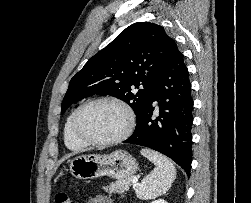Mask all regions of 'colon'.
Segmentation results:
<instances>
[{
  "instance_id": "1",
  "label": "colon",
  "mask_w": 251,
  "mask_h": 203,
  "mask_svg": "<svg viewBox=\"0 0 251 203\" xmlns=\"http://www.w3.org/2000/svg\"><path fill=\"white\" fill-rule=\"evenodd\" d=\"M55 203H74L65 191H59L55 196Z\"/></svg>"
}]
</instances>
